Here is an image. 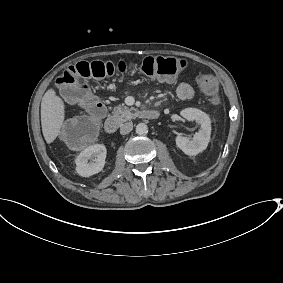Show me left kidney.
I'll use <instances>...</instances> for the list:
<instances>
[{
    "label": "left kidney",
    "instance_id": "obj_1",
    "mask_svg": "<svg viewBox=\"0 0 283 283\" xmlns=\"http://www.w3.org/2000/svg\"><path fill=\"white\" fill-rule=\"evenodd\" d=\"M180 115L188 121H196L201 125L200 130L195 133L192 140L178 135L176 145L187 155H197L204 151L209 143L211 135V120L203 111L196 108H186L180 112Z\"/></svg>",
    "mask_w": 283,
    "mask_h": 283
}]
</instances>
